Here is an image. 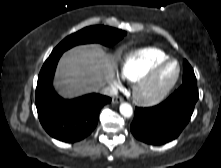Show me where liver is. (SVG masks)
I'll list each match as a JSON object with an SVG mask.
<instances>
[{
  "label": "liver",
  "instance_id": "6515ba94",
  "mask_svg": "<svg viewBox=\"0 0 221 168\" xmlns=\"http://www.w3.org/2000/svg\"><path fill=\"white\" fill-rule=\"evenodd\" d=\"M115 58L98 45L66 52L57 68L55 87L66 98L97 92L114 77Z\"/></svg>",
  "mask_w": 221,
  "mask_h": 168
}]
</instances>
